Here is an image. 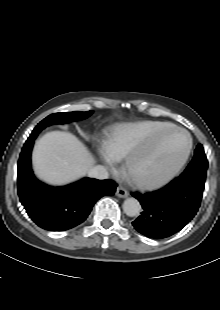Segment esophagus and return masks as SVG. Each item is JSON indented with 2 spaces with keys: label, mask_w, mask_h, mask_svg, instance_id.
Instances as JSON below:
<instances>
[{
  "label": "esophagus",
  "mask_w": 220,
  "mask_h": 310,
  "mask_svg": "<svg viewBox=\"0 0 220 310\" xmlns=\"http://www.w3.org/2000/svg\"><path fill=\"white\" fill-rule=\"evenodd\" d=\"M115 194L116 196L120 198H126L129 195L128 191L124 187H121V186L117 187Z\"/></svg>",
  "instance_id": "1"
}]
</instances>
